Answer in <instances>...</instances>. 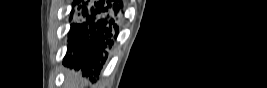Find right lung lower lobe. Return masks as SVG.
<instances>
[{
	"label": "right lung lower lobe",
	"mask_w": 267,
	"mask_h": 88,
	"mask_svg": "<svg viewBox=\"0 0 267 88\" xmlns=\"http://www.w3.org/2000/svg\"><path fill=\"white\" fill-rule=\"evenodd\" d=\"M122 9L120 0L83 2L78 10L85 19L71 27L68 50L73 60L65 65L81 69L83 76L98 77L118 36Z\"/></svg>",
	"instance_id": "1"
}]
</instances>
